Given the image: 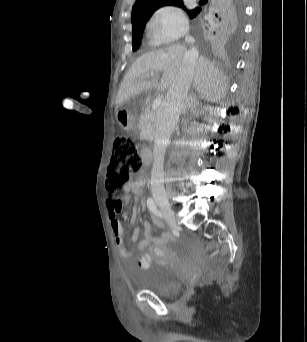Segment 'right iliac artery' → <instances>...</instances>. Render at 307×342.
<instances>
[{"mask_svg":"<svg viewBox=\"0 0 307 342\" xmlns=\"http://www.w3.org/2000/svg\"><path fill=\"white\" fill-rule=\"evenodd\" d=\"M147 206L152 213H154L155 215H160V211L157 209L152 198L147 199Z\"/></svg>","mask_w":307,"mask_h":342,"instance_id":"82829eb1","label":"right iliac artery"}]
</instances>
